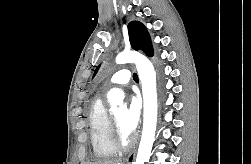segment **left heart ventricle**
Returning <instances> with one entry per match:
<instances>
[{"instance_id": "left-heart-ventricle-1", "label": "left heart ventricle", "mask_w": 251, "mask_h": 164, "mask_svg": "<svg viewBox=\"0 0 251 164\" xmlns=\"http://www.w3.org/2000/svg\"><path fill=\"white\" fill-rule=\"evenodd\" d=\"M124 114H125V110L123 108H120V109L114 111L113 116H114L117 124L119 125L120 129L124 133V135H128V133L123 128Z\"/></svg>"}]
</instances>
